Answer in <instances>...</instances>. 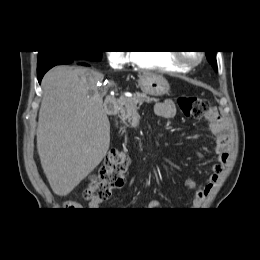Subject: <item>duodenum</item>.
I'll list each match as a JSON object with an SVG mask.
<instances>
[{
    "mask_svg": "<svg viewBox=\"0 0 260 260\" xmlns=\"http://www.w3.org/2000/svg\"><path fill=\"white\" fill-rule=\"evenodd\" d=\"M105 110L109 115H115L117 113V106L112 101H107L105 103Z\"/></svg>",
    "mask_w": 260,
    "mask_h": 260,
    "instance_id": "duodenum-1",
    "label": "duodenum"
}]
</instances>
